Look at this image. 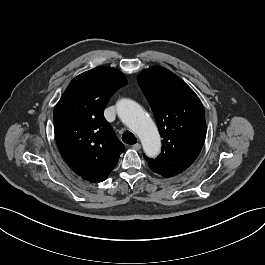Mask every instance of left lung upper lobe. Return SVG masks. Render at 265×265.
<instances>
[{"label": "left lung upper lobe", "instance_id": "left-lung-upper-lobe-1", "mask_svg": "<svg viewBox=\"0 0 265 265\" xmlns=\"http://www.w3.org/2000/svg\"><path fill=\"white\" fill-rule=\"evenodd\" d=\"M137 82L147 98L162 140L160 155H144L152 171L172 177L187 169L198 157L206 136L203 105L193 90L166 68L143 70Z\"/></svg>", "mask_w": 265, "mask_h": 265}]
</instances>
